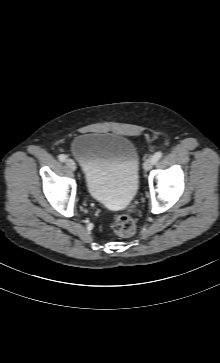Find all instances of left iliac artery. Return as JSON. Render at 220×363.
Instances as JSON below:
<instances>
[{"mask_svg":"<svg viewBox=\"0 0 220 363\" xmlns=\"http://www.w3.org/2000/svg\"><path fill=\"white\" fill-rule=\"evenodd\" d=\"M161 157H162V152L161 151L156 152L152 157L153 163H156L158 160L161 159Z\"/></svg>","mask_w":220,"mask_h":363,"instance_id":"left-iliac-artery-1","label":"left iliac artery"}]
</instances>
